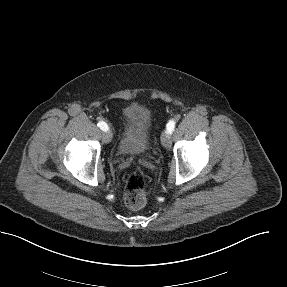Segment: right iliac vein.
Instances as JSON below:
<instances>
[{"mask_svg": "<svg viewBox=\"0 0 287 287\" xmlns=\"http://www.w3.org/2000/svg\"><path fill=\"white\" fill-rule=\"evenodd\" d=\"M111 140H112V133H111V131H105L104 133H103V135H102V141L104 142V143H109V142H111Z\"/></svg>", "mask_w": 287, "mask_h": 287, "instance_id": "63e3f726", "label": "right iliac vein"}]
</instances>
